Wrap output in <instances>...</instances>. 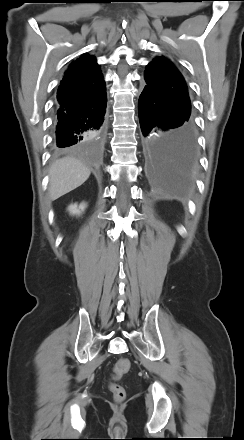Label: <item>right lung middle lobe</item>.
I'll return each mask as SVG.
<instances>
[{"label":"right lung middle lobe","instance_id":"obj_1","mask_svg":"<svg viewBox=\"0 0 244 440\" xmlns=\"http://www.w3.org/2000/svg\"><path fill=\"white\" fill-rule=\"evenodd\" d=\"M100 139V138H99ZM99 139H94L93 141L99 140Z\"/></svg>","mask_w":244,"mask_h":440}]
</instances>
